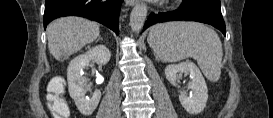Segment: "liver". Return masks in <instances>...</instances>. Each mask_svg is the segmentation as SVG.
Masks as SVG:
<instances>
[{
    "label": "liver",
    "mask_w": 273,
    "mask_h": 118,
    "mask_svg": "<svg viewBox=\"0 0 273 118\" xmlns=\"http://www.w3.org/2000/svg\"><path fill=\"white\" fill-rule=\"evenodd\" d=\"M99 24L79 17H64L47 27L48 49L56 60H64L99 37Z\"/></svg>",
    "instance_id": "liver-1"
}]
</instances>
